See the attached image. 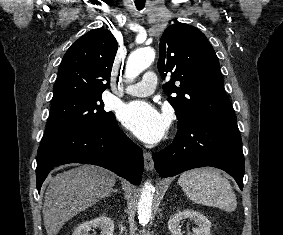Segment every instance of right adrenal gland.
<instances>
[{
	"instance_id": "right-adrenal-gland-1",
	"label": "right adrenal gland",
	"mask_w": 283,
	"mask_h": 235,
	"mask_svg": "<svg viewBox=\"0 0 283 235\" xmlns=\"http://www.w3.org/2000/svg\"><path fill=\"white\" fill-rule=\"evenodd\" d=\"M111 193H119L118 189H113Z\"/></svg>"
}]
</instances>
